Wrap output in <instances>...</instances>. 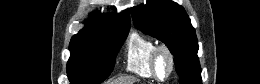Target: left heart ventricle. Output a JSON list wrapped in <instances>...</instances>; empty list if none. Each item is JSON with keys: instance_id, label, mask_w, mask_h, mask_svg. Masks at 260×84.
<instances>
[{"instance_id": "left-heart-ventricle-1", "label": "left heart ventricle", "mask_w": 260, "mask_h": 84, "mask_svg": "<svg viewBox=\"0 0 260 84\" xmlns=\"http://www.w3.org/2000/svg\"><path fill=\"white\" fill-rule=\"evenodd\" d=\"M168 71V60L165 56L160 57L158 62V74L163 77Z\"/></svg>"}]
</instances>
